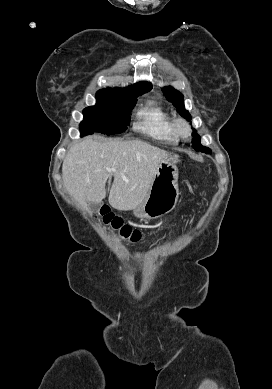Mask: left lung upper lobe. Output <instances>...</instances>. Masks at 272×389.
Returning <instances> with one entry per match:
<instances>
[{
  "instance_id": "left-lung-upper-lobe-1",
  "label": "left lung upper lobe",
  "mask_w": 272,
  "mask_h": 389,
  "mask_svg": "<svg viewBox=\"0 0 272 389\" xmlns=\"http://www.w3.org/2000/svg\"><path fill=\"white\" fill-rule=\"evenodd\" d=\"M162 91L166 95L167 100L172 102L174 106L177 108L179 114L182 117H184L186 120L191 121V115L184 107L183 95L179 91L172 88L171 86L162 88ZM192 136H193L192 144L195 150L202 151L208 154L211 153V150L208 147L202 146L200 144V136L196 133L195 130L193 131Z\"/></svg>"
}]
</instances>
